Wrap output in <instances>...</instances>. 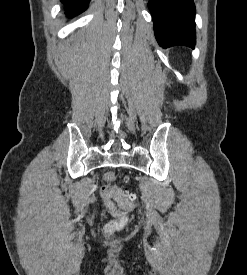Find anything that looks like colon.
<instances>
[{"instance_id": "colon-1", "label": "colon", "mask_w": 247, "mask_h": 275, "mask_svg": "<svg viewBox=\"0 0 247 275\" xmlns=\"http://www.w3.org/2000/svg\"><path fill=\"white\" fill-rule=\"evenodd\" d=\"M114 179L115 176L111 172L104 175V180L108 183L113 182ZM100 194L114 216V219L107 222L104 227V232L107 235H111L124 228L127 224V213L136 207L137 197L135 194H129L118 187L109 185L101 187ZM116 203L120 208L116 206Z\"/></svg>"}]
</instances>
